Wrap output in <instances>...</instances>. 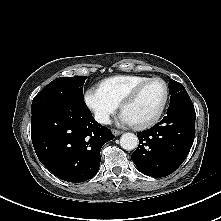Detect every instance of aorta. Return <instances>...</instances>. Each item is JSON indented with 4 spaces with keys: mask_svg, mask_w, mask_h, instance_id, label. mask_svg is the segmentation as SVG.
Instances as JSON below:
<instances>
[{
    "mask_svg": "<svg viewBox=\"0 0 221 221\" xmlns=\"http://www.w3.org/2000/svg\"><path fill=\"white\" fill-rule=\"evenodd\" d=\"M138 137L134 133H124L120 138V145L125 150H133L138 146Z\"/></svg>",
    "mask_w": 221,
    "mask_h": 221,
    "instance_id": "obj_1",
    "label": "aorta"
}]
</instances>
